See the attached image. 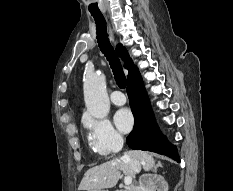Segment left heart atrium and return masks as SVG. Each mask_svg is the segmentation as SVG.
I'll return each instance as SVG.
<instances>
[{
  "instance_id": "obj_1",
  "label": "left heart atrium",
  "mask_w": 233,
  "mask_h": 191,
  "mask_svg": "<svg viewBox=\"0 0 233 191\" xmlns=\"http://www.w3.org/2000/svg\"><path fill=\"white\" fill-rule=\"evenodd\" d=\"M114 121L117 128L123 132H129L134 125V118L130 110L123 108L116 112Z\"/></svg>"
}]
</instances>
